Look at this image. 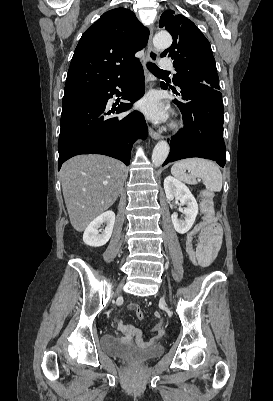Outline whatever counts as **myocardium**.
I'll list each match as a JSON object with an SVG mask.
<instances>
[{"label":"myocardium","mask_w":273,"mask_h":401,"mask_svg":"<svg viewBox=\"0 0 273 401\" xmlns=\"http://www.w3.org/2000/svg\"><path fill=\"white\" fill-rule=\"evenodd\" d=\"M182 127V124L181 123H176L175 125H174V128L175 129H180Z\"/></svg>","instance_id":"myocardium-1"}]
</instances>
